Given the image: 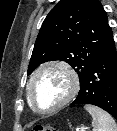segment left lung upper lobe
<instances>
[{"label":"left lung upper lobe","instance_id":"obj_1","mask_svg":"<svg viewBox=\"0 0 117 131\" xmlns=\"http://www.w3.org/2000/svg\"><path fill=\"white\" fill-rule=\"evenodd\" d=\"M111 36L107 13L99 0H60L41 26L28 75L44 62L62 60L75 69L82 82Z\"/></svg>","mask_w":117,"mask_h":131}]
</instances>
